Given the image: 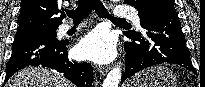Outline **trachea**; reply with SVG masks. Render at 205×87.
Returning <instances> with one entry per match:
<instances>
[{"mask_svg":"<svg viewBox=\"0 0 205 87\" xmlns=\"http://www.w3.org/2000/svg\"><path fill=\"white\" fill-rule=\"evenodd\" d=\"M75 10H68L66 14L73 22H80L86 19L95 10L96 14L102 18H108L113 22H126L123 18L111 16L100 0H79Z\"/></svg>","mask_w":205,"mask_h":87,"instance_id":"obj_1","label":"trachea"}]
</instances>
